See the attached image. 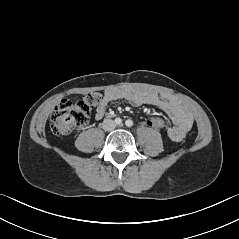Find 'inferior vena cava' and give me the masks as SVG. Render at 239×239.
<instances>
[{
  "label": "inferior vena cava",
  "mask_w": 239,
  "mask_h": 239,
  "mask_svg": "<svg viewBox=\"0 0 239 239\" xmlns=\"http://www.w3.org/2000/svg\"><path fill=\"white\" fill-rule=\"evenodd\" d=\"M115 127H116V123L111 119H105L102 123V128L105 131H111L115 129Z\"/></svg>",
  "instance_id": "602c4592"
}]
</instances>
